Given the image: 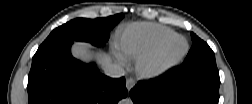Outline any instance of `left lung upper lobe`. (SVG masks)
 <instances>
[{
	"label": "left lung upper lobe",
	"instance_id": "5c2ea615",
	"mask_svg": "<svg viewBox=\"0 0 252 104\" xmlns=\"http://www.w3.org/2000/svg\"><path fill=\"white\" fill-rule=\"evenodd\" d=\"M193 45L184 60V64L192 65L199 63H216L215 55L206 42L201 40L196 34L191 33Z\"/></svg>",
	"mask_w": 252,
	"mask_h": 104
}]
</instances>
